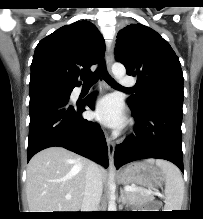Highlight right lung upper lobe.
Segmentation results:
<instances>
[{
	"label": "right lung upper lobe",
	"mask_w": 203,
	"mask_h": 219,
	"mask_svg": "<svg viewBox=\"0 0 203 219\" xmlns=\"http://www.w3.org/2000/svg\"><path fill=\"white\" fill-rule=\"evenodd\" d=\"M105 43L96 26L86 20L57 29L42 39L31 64L30 82L53 80L69 86L80 85L79 75L104 55Z\"/></svg>",
	"instance_id": "right-lung-upper-lobe-1"
}]
</instances>
